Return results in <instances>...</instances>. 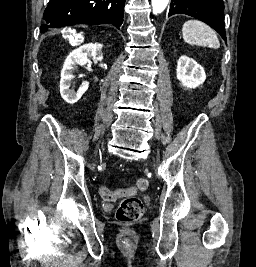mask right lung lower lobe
<instances>
[{
    "label": "right lung lower lobe",
    "mask_w": 256,
    "mask_h": 267,
    "mask_svg": "<svg viewBox=\"0 0 256 267\" xmlns=\"http://www.w3.org/2000/svg\"><path fill=\"white\" fill-rule=\"evenodd\" d=\"M124 4L125 0H50L40 32L75 24H112L119 29Z\"/></svg>",
    "instance_id": "right-lung-lower-lobe-1"
}]
</instances>
